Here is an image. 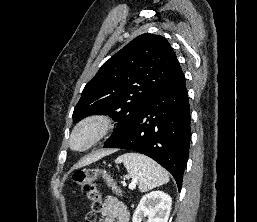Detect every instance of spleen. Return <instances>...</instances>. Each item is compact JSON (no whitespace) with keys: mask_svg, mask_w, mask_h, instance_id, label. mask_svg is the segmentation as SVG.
<instances>
[{"mask_svg":"<svg viewBox=\"0 0 257 222\" xmlns=\"http://www.w3.org/2000/svg\"><path fill=\"white\" fill-rule=\"evenodd\" d=\"M123 163L141 192H146L169 181L168 173L155 161L140 153H125L116 159Z\"/></svg>","mask_w":257,"mask_h":222,"instance_id":"1","label":"spleen"}]
</instances>
